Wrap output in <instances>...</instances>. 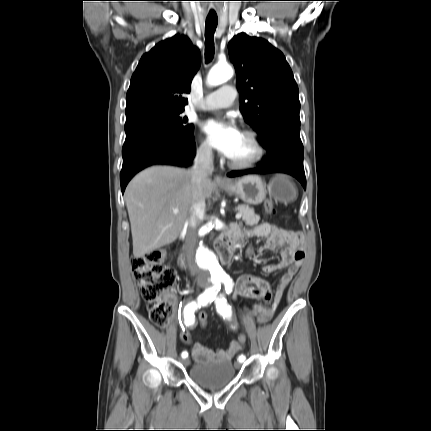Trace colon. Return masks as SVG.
<instances>
[{"instance_id": "obj_1", "label": "colon", "mask_w": 431, "mask_h": 431, "mask_svg": "<svg viewBox=\"0 0 431 431\" xmlns=\"http://www.w3.org/2000/svg\"><path fill=\"white\" fill-rule=\"evenodd\" d=\"M265 211L272 214L275 211L272 201L264 205ZM134 277L139 286L143 299L147 302L148 315L153 324L160 328L167 325L170 315V306L166 301V292L175 284L176 271L173 267L165 264V255L160 251H152L143 256L132 259ZM258 310H252L251 316L257 319ZM208 309H198V319L201 325L209 322ZM247 338L244 331H239L237 342L245 345ZM180 342L184 346L191 345L190 327L180 330Z\"/></svg>"}]
</instances>
